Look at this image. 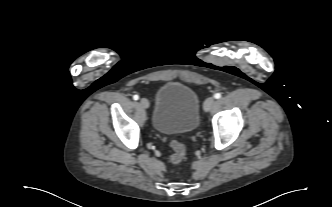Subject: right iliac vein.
<instances>
[{
	"label": "right iliac vein",
	"instance_id": "1",
	"mask_svg": "<svg viewBox=\"0 0 332 207\" xmlns=\"http://www.w3.org/2000/svg\"><path fill=\"white\" fill-rule=\"evenodd\" d=\"M140 104H141V106L143 107V108H148L149 107V101L146 99V98H142L141 100H140Z\"/></svg>",
	"mask_w": 332,
	"mask_h": 207
}]
</instances>
